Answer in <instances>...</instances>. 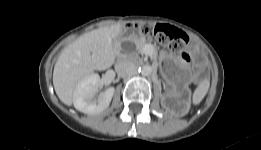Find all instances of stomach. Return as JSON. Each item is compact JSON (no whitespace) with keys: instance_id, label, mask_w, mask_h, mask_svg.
I'll return each instance as SVG.
<instances>
[{"instance_id":"0dacf381","label":"stomach","mask_w":261,"mask_h":150,"mask_svg":"<svg viewBox=\"0 0 261 150\" xmlns=\"http://www.w3.org/2000/svg\"><path fill=\"white\" fill-rule=\"evenodd\" d=\"M136 37H137V33H136L135 29H133L131 32V38H136Z\"/></svg>"}]
</instances>
